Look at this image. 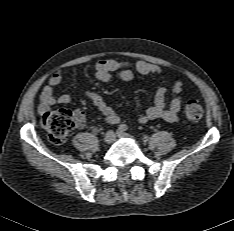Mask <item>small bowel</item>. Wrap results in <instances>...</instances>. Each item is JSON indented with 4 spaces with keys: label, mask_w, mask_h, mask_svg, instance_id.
<instances>
[{
    "label": "small bowel",
    "mask_w": 234,
    "mask_h": 231,
    "mask_svg": "<svg viewBox=\"0 0 234 231\" xmlns=\"http://www.w3.org/2000/svg\"><path fill=\"white\" fill-rule=\"evenodd\" d=\"M95 77L102 82H110L114 78L121 81H129L133 78V71L130 68V63L121 62L115 59H101L94 63L93 66ZM135 70L142 75L160 76L163 70L159 65L138 61L135 64ZM63 80V73L61 71L55 72L49 79L47 85L44 86L40 96V111L46 112L50 107L56 103L69 104L71 97L68 94L55 96L54 89ZM169 90L172 98L168 107L165 105V98L168 88L164 85L158 87L154 103L150 106L140 117L139 122L142 124L148 123L155 119H163L167 122L177 123L180 121L179 111L182 108L183 99L181 92L183 90V83L179 80L171 83ZM85 96L92 102V104L101 112L106 121H110L118 117L116 111L105 101L103 96L96 91H87ZM77 128H82L85 124V114L81 110H76L74 113Z\"/></svg>",
    "instance_id": "small-bowel-1"
}]
</instances>
